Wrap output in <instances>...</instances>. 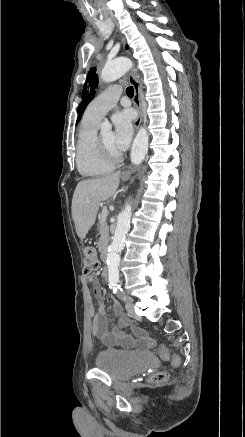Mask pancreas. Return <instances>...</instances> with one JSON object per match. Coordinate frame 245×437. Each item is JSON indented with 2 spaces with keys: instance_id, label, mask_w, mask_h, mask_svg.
<instances>
[{
  "instance_id": "obj_1",
  "label": "pancreas",
  "mask_w": 245,
  "mask_h": 437,
  "mask_svg": "<svg viewBox=\"0 0 245 437\" xmlns=\"http://www.w3.org/2000/svg\"><path fill=\"white\" fill-rule=\"evenodd\" d=\"M104 209H106V208H104ZM103 210H102V213H103ZM102 213H101V216L99 218L100 238L98 240V248L100 251H102L104 248H106V246L108 245V242H109V228H108V225L105 222V220L102 219Z\"/></svg>"
}]
</instances>
